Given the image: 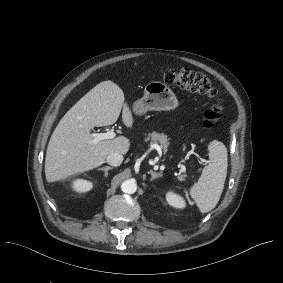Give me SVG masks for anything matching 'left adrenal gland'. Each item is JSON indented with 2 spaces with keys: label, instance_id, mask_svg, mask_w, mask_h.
I'll list each match as a JSON object with an SVG mask.
<instances>
[{
  "label": "left adrenal gland",
  "instance_id": "left-adrenal-gland-1",
  "mask_svg": "<svg viewBox=\"0 0 283 283\" xmlns=\"http://www.w3.org/2000/svg\"><path fill=\"white\" fill-rule=\"evenodd\" d=\"M148 173L151 174V180L155 179L156 177L162 174L161 171L155 172L153 170H150Z\"/></svg>",
  "mask_w": 283,
  "mask_h": 283
}]
</instances>
